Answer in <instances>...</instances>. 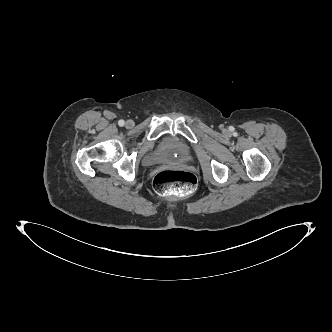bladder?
<instances>
[{
	"label": "bladder",
	"mask_w": 332,
	"mask_h": 332,
	"mask_svg": "<svg viewBox=\"0 0 332 332\" xmlns=\"http://www.w3.org/2000/svg\"><path fill=\"white\" fill-rule=\"evenodd\" d=\"M192 158L189 144L183 140L167 139L157 151L145 156L143 164H164L171 162H187Z\"/></svg>",
	"instance_id": "31cf9c89"
}]
</instances>
